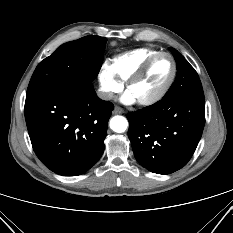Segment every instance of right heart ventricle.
Wrapping results in <instances>:
<instances>
[{
    "label": "right heart ventricle",
    "mask_w": 233,
    "mask_h": 233,
    "mask_svg": "<svg viewBox=\"0 0 233 233\" xmlns=\"http://www.w3.org/2000/svg\"><path fill=\"white\" fill-rule=\"evenodd\" d=\"M159 51L151 48H139L114 57L109 68L117 79L125 83L150 57Z\"/></svg>",
    "instance_id": "obj_1"
}]
</instances>
